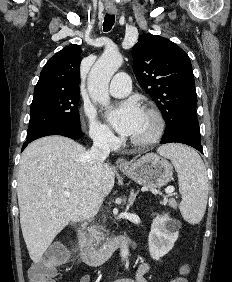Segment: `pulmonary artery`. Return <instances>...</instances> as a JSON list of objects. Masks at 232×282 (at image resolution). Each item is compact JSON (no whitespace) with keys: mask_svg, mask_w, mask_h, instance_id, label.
<instances>
[{"mask_svg":"<svg viewBox=\"0 0 232 282\" xmlns=\"http://www.w3.org/2000/svg\"><path fill=\"white\" fill-rule=\"evenodd\" d=\"M131 91V79L125 72L117 73L109 86V93L116 98L127 96Z\"/></svg>","mask_w":232,"mask_h":282,"instance_id":"pulmonary-artery-1","label":"pulmonary artery"}]
</instances>
